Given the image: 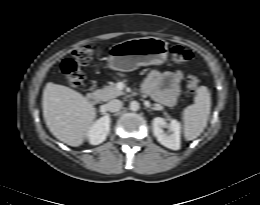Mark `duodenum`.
Returning a JSON list of instances; mask_svg holds the SVG:
<instances>
[{"label": "duodenum", "instance_id": "410a0bca", "mask_svg": "<svg viewBox=\"0 0 260 205\" xmlns=\"http://www.w3.org/2000/svg\"><path fill=\"white\" fill-rule=\"evenodd\" d=\"M99 99V95L94 91H90L86 94V101L93 106L99 103Z\"/></svg>", "mask_w": 260, "mask_h": 205}]
</instances>
